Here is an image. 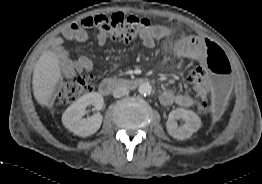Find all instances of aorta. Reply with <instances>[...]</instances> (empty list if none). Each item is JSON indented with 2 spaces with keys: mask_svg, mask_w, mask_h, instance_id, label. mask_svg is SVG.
<instances>
[{
  "mask_svg": "<svg viewBox=\"0 0 262 184\" xmlns=\"http://www.w3.org/2000/svg\"><path fill=\"white\" fill-rule=\"evenodd\" d=\"M152 87L149 83H141L138 87V92L142 95H148L151 93Z\"/></svg>",
  "mask_w": 262,
  "mask_h": 184,
  "instance_id": "1",
  "label": "aorta"
}]
</instances>
